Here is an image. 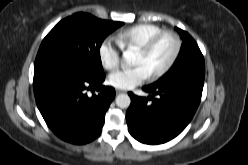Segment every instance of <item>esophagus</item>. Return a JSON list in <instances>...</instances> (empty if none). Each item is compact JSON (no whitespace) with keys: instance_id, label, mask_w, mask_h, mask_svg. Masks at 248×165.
I'll return each instance as SVG.
<instances>
[{"instance_id":"obj_1","label":"esophagus","mask_w":248,"mask_h":165,"mask_svg":"<svg viewBox=\"0 0 248 165\" xmlns=\"http://www.w3.org/2000/svg\"><path fill=\"white\" fill-rule=\"evenodd\" d=\"M123 92H124L123 90L116 89V94H120V93H123Z\"/></svg>"}]
</instances>
